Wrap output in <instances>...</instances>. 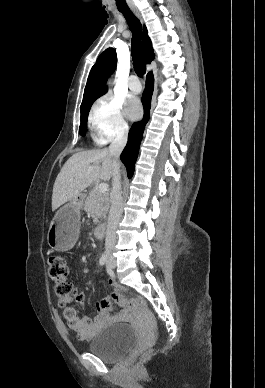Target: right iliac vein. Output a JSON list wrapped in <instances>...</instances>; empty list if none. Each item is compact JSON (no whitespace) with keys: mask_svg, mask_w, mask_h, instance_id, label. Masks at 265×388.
I'll return each instance as SVG.
<instances>
[{"mask_svg":"<svg viewBox=\"0 0 265 388\" xmlns=\"http://www.w3.org/2000/svg\"><path fill=\"white\" fill-rule=\"evenodd\" d=\"M110 263L112 264V266H115V261L110 260Z\"/></svg>","mask_w":265,"mask_h":388,"instance_id":"63e3f726","label":"right iliac vein"}]
</instances>
